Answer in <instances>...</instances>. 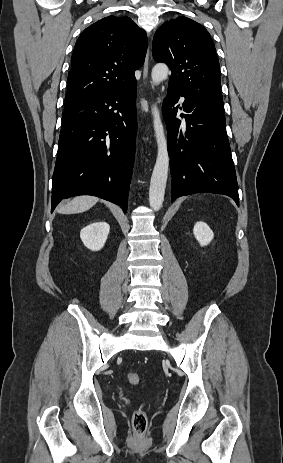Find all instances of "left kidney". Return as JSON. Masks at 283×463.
Listing matches in <instances>:
<instances>
[{
    "instance_id": "obj_1",
    "label": "left kidney",
    "mask_w": 283,
    "mask_h": 463,
    "mask_svg": "<svg viewBox=\"0 0 283 463\" xmlns=\"http://www.w3.org/2000/svg\"><path fill=\"white\" fill-rule=\"evenodd\" d=\"M193 234L201 246L208 245L214 238V233L211 228L202 221L196 222L194 225Z\"/></svg>"
}]
</instances>
